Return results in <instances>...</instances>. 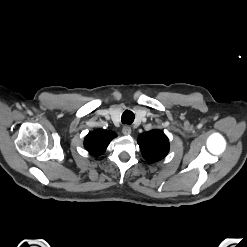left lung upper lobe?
Wrapping results in <instances>:
<instances>
[{
	"mask_svg": "<svg viewBox=\"0 0 247 247\" xmlns=\"http://www.w3.org/2000/svg\"><path fill=\"white\" fill-rule=\"evenodd\" d=\"M143 157L149 162L163 159L169 152V140L160 130L143 133L138 138Z\"/></svg>",
	"mask_w": 247,
	"mask_h": 247,
	"instance_id": "obj_1",
	"label": "left lung upper lobe"
}]
</instances>
